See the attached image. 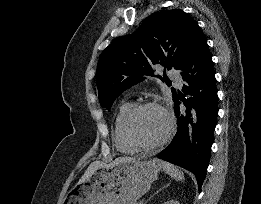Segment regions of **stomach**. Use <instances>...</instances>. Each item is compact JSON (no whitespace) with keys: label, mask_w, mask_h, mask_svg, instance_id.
Listing matches in <instances>:
<instances>
[{"label":"stomach","mask_w":261,"mask_h":204,"mask_svg":"<svg viewBox=\"0 0 261 204\" xmlns=\"http://www.w3.org/2000/svg\"><path fill=\"white\" fill-rule=\"evenodd\" d=\"M161 167L155 158L100 167L88 180L78 182L63 204H136L157 179Z\"/></svg>","instance_id":"1"}]
</instances>
